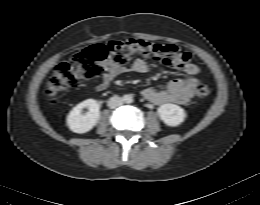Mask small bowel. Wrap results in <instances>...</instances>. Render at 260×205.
I'll use <instances>...</instances> for the list:
<instances>
[{
	"instance_id": "1",
	"label": "small bowel",
	"mask_w": 260,
	"mask_h": 205,
	"mask_svg": "<svg viewBox=\"0 0 260 205\" xmlns=\"http://www.w3.org/2000/svg\"><path fill=\"white\" fill-rule=\"evenodd\" d=\"M102 67L101 80L95 86L97 91L107 90L111 82L124 73L135 72L143 74L149 70V65L142 59H136L130 66L119 65L111 59H107L102 63ZM183 71L185 77L172 80L166 88H145L142 91L143 97L157 105L167 103L185 105L189 103L195 95L200 69L196 64L188 63L183 68Z\"/></svg>"
}]
</instances>
